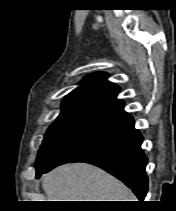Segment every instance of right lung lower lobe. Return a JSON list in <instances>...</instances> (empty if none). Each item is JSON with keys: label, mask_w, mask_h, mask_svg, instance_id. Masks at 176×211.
<instances>
[{"label": "right lung lower lobe", "mask_w": 176, "mask_h": 211, "mask_svg": "<svg viewBox=\"0 0 176 211\" xmlns=\"http://www.w3.org/2000/svg\"><path fill=\"white\" fill-rule=\"evenodd\" d=\"M142 135L134 128L128 113L97 124L63 150L52 162L37 169L36 178L54 167L68 162H87L98 166L132 189L143 201L148 178L147 158L141 149Z\"/></svg>", "instance_id": "98d812e1"}]
</instances>
